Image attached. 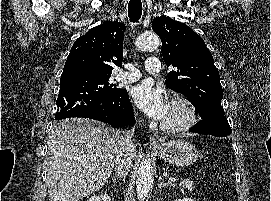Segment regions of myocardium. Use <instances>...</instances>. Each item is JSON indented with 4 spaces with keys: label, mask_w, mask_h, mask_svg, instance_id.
Instances as JSON below:
<instances>
[{
    "label": "myocardium",
    "mask_w": 271,
    "mask_h": 201,
    "mask_svg": "<svg viewBox=\"0 0 271 201\" xmlns=\"http://www.w3.org/2000/svg\"><path fill=\"white\" fill-rule=\"evenodd\" d=\"M171 106L177 107L182 111L183 118L180 122L170 124L161 123L163 131L168 133H181L190 130L198 121V114L195 106L182 96H175L171 100Z\"/></svg>",
    "instance_id": "f54148a6"
}]
</instances>
